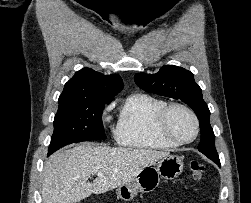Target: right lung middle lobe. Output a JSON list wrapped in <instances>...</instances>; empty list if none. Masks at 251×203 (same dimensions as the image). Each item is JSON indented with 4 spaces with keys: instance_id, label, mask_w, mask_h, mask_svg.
<instances>
[{
    "instance_id": "right-lung-middle-lobe-1",
    "label": "right lung middle lobe",
    "mask_w": 251,
    "mask_h": 203,
    "mask_svg": "<svg viewBox=\"0 0 251 203\" xmlns=\"http://www.w3.org/2000/svg\"><path fill=\"white\" fill-rule=\"evenodd\" d=\"M108 103L109 101L74 102L60 105L54 118V133L48 156L71 143L106 139L102 110Z\"/></svg>"
}]
</instances>
